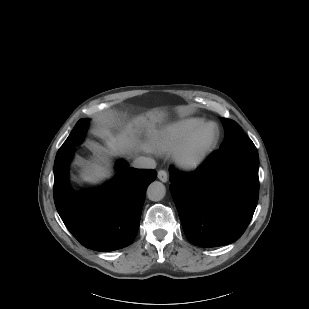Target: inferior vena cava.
I'll return each instance as SVG.
<instances>
[{
    "label": "inferior vena cava",
    "mask_w": 309,
    "mask_h": 309,
    "mask_svg": "<svg viewBox=\"0 0 309 309\" xmlns=\"http://www.w3.org/2000/svg\"><path fill=\"white\" fill-rule=\"evenodd\" d=\"M133 166L141 169H154L156 167V162L152 158L138 157L135 159Z\"/></svg>",
    "instance_id": "1"
}]
</instances>
